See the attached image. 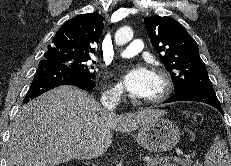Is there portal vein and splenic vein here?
Instances as JSON below:
<instances>
[{"instance_id":"18ae733b","label":"portal vein and splenic vein","mask_w":231,"mask_h":166,"mask_svg":"<svg viewBox=\"0 0 231 166\" xmlns=\"http://www.w3.org/2000/svg\"><path fill=\"white\" fill-rule=\"evenodd\" d=\"M177 161H180V162H184V160L185 159H182V158H178V157H176L175 158ZM144 161L146 162V163H149V162H152V161H156V158H149V157H145L144 158Z\"/></svg>"}]
</instances>
